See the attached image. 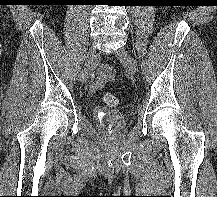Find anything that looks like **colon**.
Segmentation results:
<instances>
[{
    "mask_svg": "<svg viewBox=\"0 0 217 197\" xmlns=\"http://www.w3.org/2000/svg\"><path fill=\"white\" fill-rule=\"evenodd\" d=\"M103 99L108 107H116L119 104L118 98L111 93H106Z\"/></svg>",
    "mask_w": 217,
    "mask_h": 197,
    "instance_id": "5ec220e1",
    "label": "colon"
}]
</instances>
